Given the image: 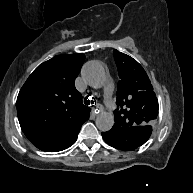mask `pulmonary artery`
Here are the masks:
<instances>
[{
    "mask_svg": "<svg viewBox=\"0 0 193 193\" xmlns=\"http://www.w3.org/2000/svg\"><path fill=\"white\" fill-rule=\"evenodd\" d=\"M113 91V85L110 80H107L104 84L103 97L107 103H112L111 94Z\"/></svg>",
    "mask_w": 193,
    "mask_h": 193,
    "instance_id": "obj_1",
    "label": "pulmonary artery"
}]
</instances>
